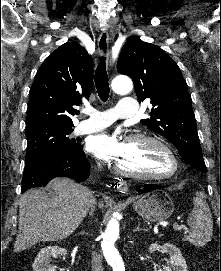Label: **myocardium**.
<instances>
[{"label":"myocardium","instance_id":"myocardium-1","mask_svg":"<svg viewBox=\"0 0 221 271\" xmlns=\"http://www.w3.org/2000/svg\"><path fill=\"white\" fill-rule=\"evenodd\" d=\"M161 140H168L160 135H157L151 131H144L142 133H129L126 137V142H130L131 145H136L138 150H157L155 153H147L146 157L151 161H157L158 164H164L168 167V170L164 172H150L141 170H126L121 161L118 158H112L111 170L116 171V175H124L125 179L134 178H171L177 174L180 170L178 165H175L176 158L172 156L174 150H167V142H161ZM163 155V156H159Z\"/></svg>","mask_w":221,"mask_h":271}]
</instances>
